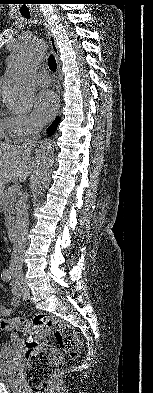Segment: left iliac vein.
Listing matches in <instances>:
<instances>
[{
    "label": "left iliac vein",
    "mask_w": 153,
    "mask_h": 393,
    "mask_svg": "<svg viewBox=\"0 0 153 393\" xmlns=\"http://www.w3.org/2000/svg\"><path fill=\"white\" fill-rule=\"evenodd\" d=\"M12 289L13 293L19 297L24 298L29 295V290L25 283H22L21 285H17L16 283H14Z\"/></svg>",
    "instance_id": "left-iliac-vein-1"
}]
</instances>
